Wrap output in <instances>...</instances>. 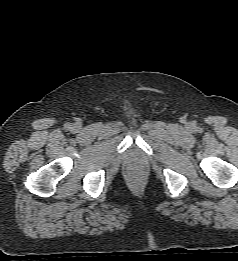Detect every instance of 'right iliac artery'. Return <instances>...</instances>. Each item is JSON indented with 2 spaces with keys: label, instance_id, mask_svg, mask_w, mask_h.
I'll use <instances>...</instances> for the list:
<instances>
[{
  "label": "right iliac artery",
  "instance_id": "1",
  "mask_svg": "<svg viewBox=\"0 0 238 261\" xmlns=\"http://www.w3.org/2000/svg\"><path fill=\"white\" fill-rule=\"evenodd\" d=\"M65 128H66V129H70V128H71V124H70V123H66V124H65Z\"/></svg>",
  "mask_w": 238,
  "mask_h": 261
}]
</instances>
